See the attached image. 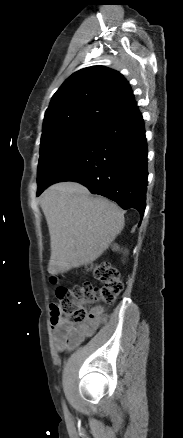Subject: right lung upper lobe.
I'll return each instance as SVG.
<instances>
[{
    "mask_svg": "<svg viewBox=\"0 0 183 438\" xmlns=\"http://www.w3.org/2000/svg\"><path fill=\"white\" fill-rule=\"evenodd\" d=\"M135 106L130 85L119 72L103 66L84 68L53 95L42 135L78 125L98 127Z\"/></svg>",
    "mask_w": 183,
    "mask_h": 438,
    "instance_id": "right-lung-upper-lobe-1",
    "label": "right lung upper lobe"
}]
</instances>
